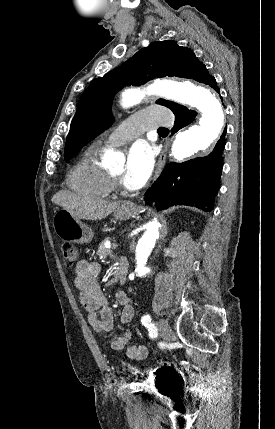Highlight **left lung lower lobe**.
Here are the masks:
<instances>
[{
	"mask_svg": "<svg viewBox=\"0 0 275 429\" xmlns=\"http://www.w3.org/2000/svg\"><path fill=\"white\" fill-rule=\"evenodd\" d=\"M197 81L219 92L216 80L208 73L206 66L200 69ZM172 112L175 114V122L171 133L192 123L197 115L195 111L182 105L175 107ZM225 134L226 129L209 155L184 163L168 164L157 181L147 190L145 203L156 205L158 210L173 205H188L206 212L211 211L214 197L219 190Z\"/></svg>",
	"mask_w": 275,
	"mask_h": 429,
	"instance_id": "left-lung-lower-lobe-1",
	"label": "left lung lower lobe"
}]
</instances>
